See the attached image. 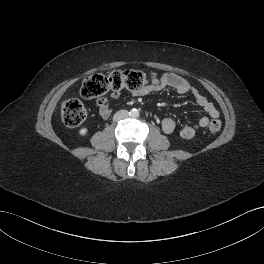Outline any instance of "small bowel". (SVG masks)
<instances>
[{
  "mask_svg": "<svg viewBox=\"0 0 264 264\" xmlns=\"http://www.w3.org/2000/svg\"><path fill=\"white\" fill-rule=\"evenodd\" d=\"M159 87H171L179 94H191L196 103L207 113V116L201 117L194 125H184L178 130V134L183 139H192L198 131L209 124V118H218L219 111L214 104L202 95L198 89L192 86L186 79L174 73H166L161 77L159 86H146L141 90L135 91V96L147 95ZM112 98L117 99L119 92L112 93ZM96 107L101 117L110 116L112 109L107 98L101 97L96 100ZM161 129L165 134H172L176 130V123L171 118H165L161 122Z\"/></svg>",
  "mask_w": 264,
  "mask_h": 264,
  "instance_id": "c3829d8e",
  "label": "small bowel"
}]
</instances>
